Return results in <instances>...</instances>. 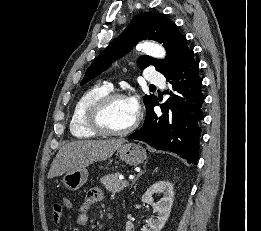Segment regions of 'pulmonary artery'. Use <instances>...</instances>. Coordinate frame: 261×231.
Listing matches in <instances>:
<instances>
[{
	"mask_svg": "<svg viewBox=\"0 0 261 231\" xmlns=\"http://www.w3.org/2000/svg\"><path fill=\"white\" fill-rule=\"evenodd\" d=\"M149 74L147 77V80L149 83H152L153 85H159L161 87H165L166 80L165 77L161 74L156 72L154 69L148 68ZM111 88V86H108Z\"/></svg>",
	"mask_w": 261,
	"mask_h": 231,
	"instance_id": "obj_1",
	"label": "pulmonary artery"
}]
</instances>
